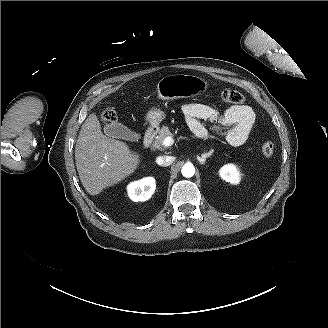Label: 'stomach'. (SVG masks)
I'll list each match as a JSON object with an SVG mask.
<instances>
[{
  "mask_svg": "<svg viewBox=\"0 0 328 328\" xmlns=\"http://www.w3.org/2000/svg\"><path fill=\"white\" fill-rule=\"evenodd\" d=\"M209 87L208 81L199 76L172 74L163 77L157 83V99L163 103L196 97L205 94ZM166 116L161 105H157L146 112L145 119L151 130H159L160 124Z\"/></svg>",
  "mask_w": 328,
  "mask_h": 328,
  "instance_id": "stomach-1",
  "label": "stomach"
}]
</instances>
